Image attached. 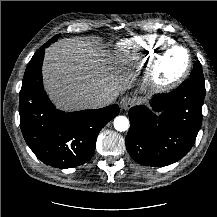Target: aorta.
Returning <instances> with one entry per match:
<instances>
[{
	"mask_svg": "<svg viewBox=\"0 0 217 217\" xmlns=\"http://www.w3.org/2000/svg\"><path fill=\"white\" fill-rule=\"evenodd\" d=\"M114 128L119 132H124L129 128V120L125 116H117L114 119Z\"/></svg>",
	"mask_w": 217,
	"mask_h": 217,
	"instance_id": "762f6f07",
	"label": "aorta"
}]
</instances>
